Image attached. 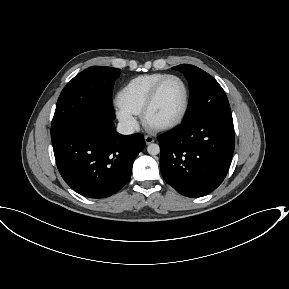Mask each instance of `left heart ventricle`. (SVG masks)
<instances>
[{"label": "left heart ventricle", "mask_w": 289, "mask_h": 289, "mask_svg": "<svg viewBox=\"0 0 289 289\" xmlns=\"http://www.w3.org/2000/svg\"><path fill=\"white\" fill-rule=\"evenodd\" d=\"M185 99L183 85L176 79L168 80L160 89L149 113L152 124H164L178 117Z\"/></svg>", "instance_id": "1"}]
</instances>
